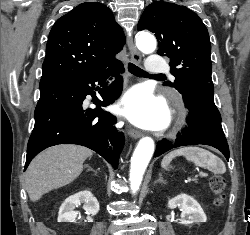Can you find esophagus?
Segmentation results:
<instances>
[{
  "mask_svg": "<svg viewBox=\"0 0 250 235\" xmlns=\"http://www.w3.org/2000/svg\"><path fill=\"white\" fill-rule=\"evenodd\" d=\"M127 45H128L131 60L134 63H140L141 59H142L141 54L136 49V47L133 43V40L130 36L127 38ZM128 133H129L130 137L133 139H138L142 136V132L134 127H130Z\"/></svg>",
  "mask_w": 250,
  "mask_h": 235,
  "instance_id": "obj_1",
  "label": "esophagus"
}]
</instances>
